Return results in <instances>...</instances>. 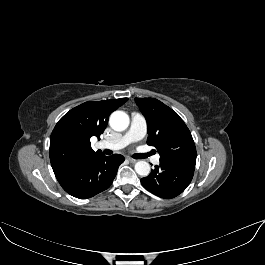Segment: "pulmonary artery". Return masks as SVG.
<instances>
[{
  "label": "pulmonary artery",
  "mask_w": 265,
  "mask_h": 265,
  "mask_svg": "<svg viewBox=\"0 0 265 265\" xmlns=\"http://www.w3.org/2000/svg\"><path fill=\"white\" fill-rule=\"evenodd\" d=\"M147 132V125L145 119L138 113H132L131 125L129 130L121 137L113 140H104L99 143L100 147L118 150L127 145L141 140ZM160 160L159 155H154L151 158L153 164H158Z\"/></svg>",
  "instance_id": "1"
}]
</instances>
